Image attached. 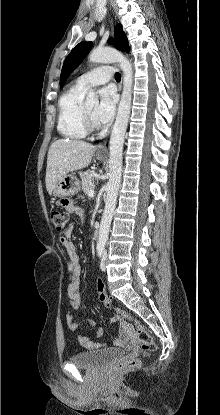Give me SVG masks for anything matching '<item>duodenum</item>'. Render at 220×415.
I'll return each mask as SVG.
<instances>
[{
  "label": "duodenum",
  "mask_w": 220,
  "mask_h": 415,
  "mask_svg": "<svg viewBox=\"0 0 220 415\" xmlns=\"http://www.w3.org/2000/svg\"><path fill=\"white\" fill-rule=\"evenodd\" d=\"M99 235H100V227H99V225H97L93 230V236L95 238H97V237H99Z\"/></svg>",
  "instance_id": "410a0bca"
}]
</instances>
